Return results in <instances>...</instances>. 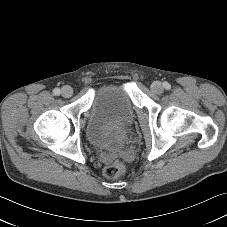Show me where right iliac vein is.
I'll list each match as a JSON object with an SVG mask.
<instances>
[{
  "instance_id": "1",
  "label": "right iliac vein",
  "mask_w": 227,
  "mask_h": 227,
  "mask_svg": "<svg viewBox=\"0 0 227 227\" xmlns=\"http://www.w3.org/2000/svg\"><path fill=\"white\" fill-rule=\"evenodd\" d=\"M61 94L63 97L69 98L73 94V89L70 86L65 85L62 87Z\"/></svg>"
}]
</instances>
